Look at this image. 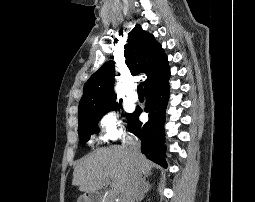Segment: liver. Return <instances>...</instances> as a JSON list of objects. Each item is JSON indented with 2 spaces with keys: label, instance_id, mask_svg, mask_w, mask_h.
I'll list each match as a JSON object with an SVG mask.
<instances>
[{
  "label": "liver",
  "instance_id": "6515ba94",
  "mask_svg": "<svg viewBox=\"0 0 255 202\" xmlns=\"http://www.w3.org/2000/svg\"><path fill=\"white\" fill-rule=\"evenodd\" d=\"M153 164L142 154L133 159L128 148L113 146L102 148L79 161L74 168L72 185L79 190L93 193L100 190L105 181L112 180L111 187L116 194L123 191L133 170L148 175Z\"/></svg>",
  "mask_w": 255,
  "mask_h": 202
}]
</instances>
